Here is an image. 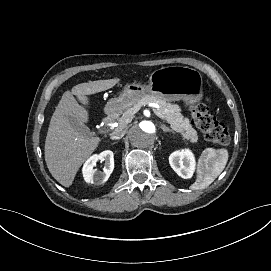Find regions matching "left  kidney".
<instances>
[{
    "label": "left kidney",
    "mask_w": 271,
    "mask_h": 271,
    "mask_svg": "<svg viewBox=\"0 0 271 271\" xmlns=\"http://www.w3.org/2000/svg\"><path fill=\"white\" fill-rule=\"evenodd\" d=\"M171 168L183 179H188L194 171V158L189 150L177 151L169 157Z\"/></svg>",
    "instance_id": "1"
}]
</instances>
